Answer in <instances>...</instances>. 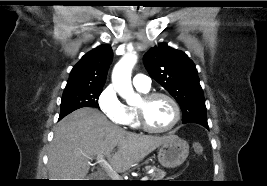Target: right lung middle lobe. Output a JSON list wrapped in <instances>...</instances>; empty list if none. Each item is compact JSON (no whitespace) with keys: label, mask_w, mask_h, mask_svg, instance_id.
Instances as JSON below:
<instances>
[{"label":"right lung middle lobe","mask_w":267,"mask_h":186,"mask_svg":"<svg viewBox=\"0 0 267 186\" xmlns=\"http://www.w3.org/2000/svg\"><path fill=\"white\" fill-rule=\"evenodd\" d=\"M103 88L65 89L60 105V117L82 107L99 108L98 99Z\"/></svg>","instance_id":"1"}]
</instances>
